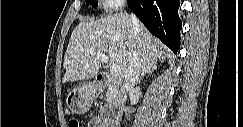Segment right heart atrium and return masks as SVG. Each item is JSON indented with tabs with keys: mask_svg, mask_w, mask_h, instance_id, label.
<instances>
[{
	"mask_svg": "<svg viewBox=\"0 0 243 127\" xmlns=\"http://www.w3.org/2000/svg\"><path fill=\"white\" fill-rule=\"evenodd\" d=\"M103 2L105 4L106 8L110 12L120 10L123 7V5L125 4L124 0H104Z\"/></svg>",
	"mask_w": 243,
	"mask_h": 127,
	"instance_id": "d8ad5b80",
	"label": "right heart atrium"
}]
</instances>
